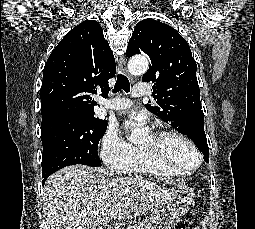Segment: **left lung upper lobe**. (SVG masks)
Returning a JSON list of instances; mask_svg holds the SVG:
<instances>
[{
    "label": "left lung upper lobe",
    "mask_w": 255,
    "mask_h": 229,
    "mask_svg": "<svg viewBox=\"0 0 255 229\" xmlns=\"http://www.w3.org/2000/svg\"><path fill=\"white\" fill-rule=\"evenodd\" d=\"M146 54L151 61L143 82L153 83L157 105H146L177 131L187 135L209 160L204 128L198 115H203L200 90L196 78L197 65L186 40L172 27L158 20L145 19L137 23L126 51L129 58Z\"/></svg>",
    "instance_id": "left-lung-upper-lobe-1"
}]
</instances>
